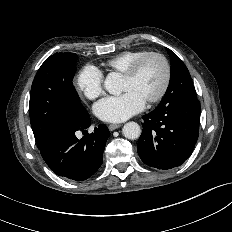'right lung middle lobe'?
I'll list each match as a JSON object with an SVG mask.
<instances>
[{"label": "right lung middle lobe", "instance_id": "right-lung-middle-lobe-1", "mask_svg": "<svg viewBox=\"0 0 232 232\" xmlns=\"http://www.w3.org/2000/svg\"><path fill=\"white\" fill-rule=\"evenodd\" d=\"M77 59L75 53H55L34 78L29 114L38 148L61 118L81 119L87 113L73 85Z\"/></svg>", "mask_w": 232, "mask_h": 232}]
</instances>
